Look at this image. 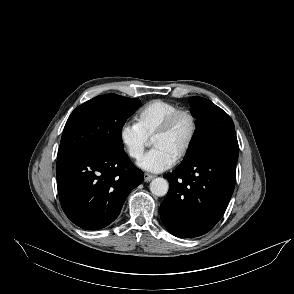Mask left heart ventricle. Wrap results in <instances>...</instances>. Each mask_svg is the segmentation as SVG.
<instances>
[{"label": "left heart ventricle", "instance_id": "1", "mask_svg": "<svg viewBox=\"0 0 294 294\" xmlns=\"http://www.w3.org/2000/svg\"><path fill=\"white\" fill-rule=\"evenodd\" d=\"M191 131V123L188 117H179L172 128L166 134L152 141L154 147H159L177 157L184 148Z\"/></svg>", "mask_w": 294, "mask_h": 294}]
</instances>
